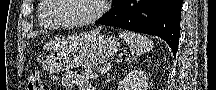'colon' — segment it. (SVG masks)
<instances>
[{"instance_id": "5ec220e1", "label": "colon", "mask_w": 216, "mask_h": 90, "mask_svg": "<svg viewBox=\"0 0 216 90\" xmlns=\"http://www.w3.org/2000/svg\"><path fill=\"white\" fill-rule=\"evenodd\" d=\"M29 90H43V85L39 77H32L28 84Z\"/></svg>"}]
</instances>
